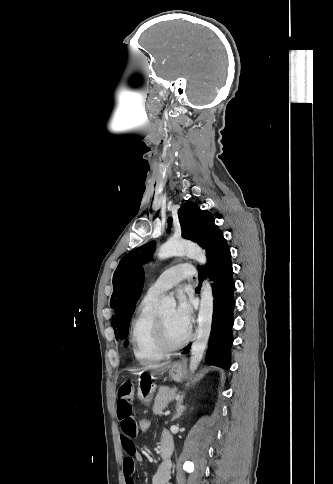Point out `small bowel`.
I'll return each instance as SVG.
<instances>
[{"label":"small bowel","mask_w":333,"mask_h":484,"mask_svg":"<svg viewBox=\"0 0 333 484\" xmlns=\"http://www.w3.org/2000/svg\"><path fill=\"white\" fill-rule=\"evenodd\" d=\"M135 386L131 381H124L118 388L116 402V416L121 428V444L126 454L123 459V473L126 484H135L134 472L136 462L143 460L142 455L137 452L134 439L138 435L137 417L134 409ZM169 440L172 442L168 431L161 434L160 441ZM170 464L163 466L160 464L156 470L152 484H171L170 483Z\"/></svg>","instance_id":"c3829d8e"}]
</instances>
